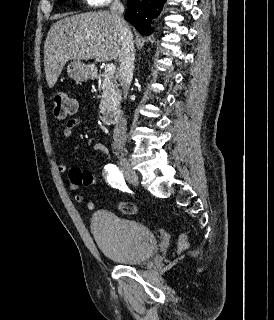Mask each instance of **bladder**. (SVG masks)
I'll return each mask as SVG.
<instances>
[{
    "label": "bladder",
    "mask_w": 274,
    "mask_h": 320,
    "mask_svg": "<svg viewBox=\"0 0 274 320\" xmlns=\"http://www.w3.org/2000/svg\"><path fill=\"white\" fill-rule=\"evenodd\" d=\"M90 230L99 250L117 263L141 264L157 250V238L149 227L112 211L95 212Z\"/></svg>",
    "instance_id": "1"
}]
</instances>
